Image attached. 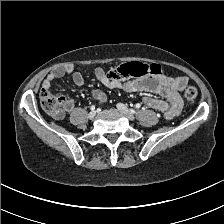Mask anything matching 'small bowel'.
Listing matches in <instances>:
<instances>
[{"instance_id":"c3829d8e","label":"small bowel","mask_w":224,"mask_h":224,"mask_svg":"<svg viewBox=\"0 0 224 224\" xmlns=\"http://www.w3.org/2000/svg\"><path fill=\"white\" fill-rule=\"evenodd\" d=\"M65 75H71L73 82L77 87L84 85V78L81 73L74 71L72 65L60 66L50 72L42 83V90H49L51 85ZM95 79L110 89H123L127 92H151L160 95L163 99H157L150 96H143L142 101L145 105L163 113L166 119H172L179 115L182 109V100L180 92L187 86L188 79L184 76L171 77L163 74L144 77L136 80L121 81L110 78L100 67L94 71ZM93 98L100 103L106 101L105 93L100 89H93L91 92ZM74 101L67 100L64 109L61 110L57 119H62L66 112L74 108Z\"/></svg>"}]
</instances>
